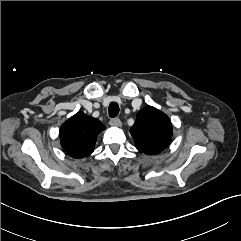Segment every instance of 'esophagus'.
Returning a JSON list of instances; mask_svg holds the SVG:
<instances>
[{
	"label": "esophagus",
	"instance_id": "obj_1",
	"mask_svg": "<svg viewBox=\"0 0 241 241\" xmlns=\"http://www.w3.org/2000/svg\"><path fill=\"white\" fill-rule=\"evenodd\" d=\"M109 124L113 127H120L122 125L119 118H112L109 122Z\"/></svg>",
	"mask_w": 241,
	"mask_h": 241
}]
</instances>
